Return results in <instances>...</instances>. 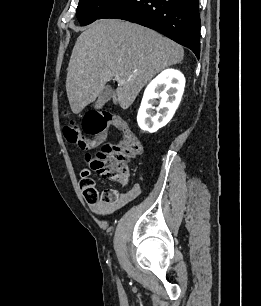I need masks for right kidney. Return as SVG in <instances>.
I'll list each match as a JSON object with an SVG mask.
<instances>
[{
  "label": "right kidney",
  "mask_w": 261,
  "mask_h": 306,
  "mask_svg": "<svg viewBox=\"0 0 261 306\" xmlns=\"http://www.w3.org/2000/svg\"><path fill=\"white\" fill-rule=\"evenodd\" d=\"M184 87L185 77L180 71L175 69L162 71L145 89L137 115L139 127L154 133L165 126L178 108ZM154 105H158L156 114L152 111L155 109Z\"/></svg>",
  "instance_id": "right-kidney-1"
}]
</instances>
